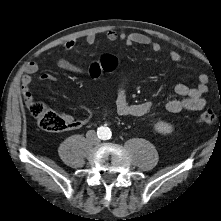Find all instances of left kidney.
<instances>
[{"mask_svg":"<svg viewBox=\"0 0 221 221\" xmlns=\"http://www.w3.org/2000/svg\"><path fill=\"white\" fill-rule=\"evenodd\" d=\"M155 129H156V131H158L159 133H162V134H169L173 131L172 125H170L169 123L163 122V121L157 122L155 124Z\"/></svg>","mask_w":221,"mask_h":221,"instance_id":"5707ae66","label":"left kidney"}]
</instances>
